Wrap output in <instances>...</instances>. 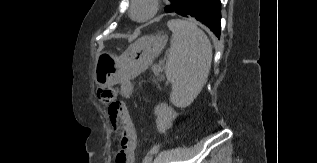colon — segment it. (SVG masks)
I'll list each match as a JSON object with an SVG mask.
<instances>
[{
  "instance_id": "obj_1",
  "label": "colon",
  "mask_w": 317,
  "mask_h": 163,
  "mask_svg": "<svg viewBox=\"0 0 317 163\" xmlns=\"http://www.w3.org/2000/svg\"><path fill=\"white\" fill-rule=\"evenodd\" d=\"M98 100L102 103H110L109 115L117 131H121L124 126L125 111L121 102L114 101L115 91L111 87L100 88L97 92Z\"/></svg>"
}]
</instances>
